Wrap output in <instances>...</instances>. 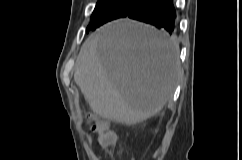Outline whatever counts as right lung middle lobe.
Wrapping results in <instances>:
<instances>
[{
    "mask_svg": "<svg viewBox=\"0 0 242 160\" xmlns=\"http://www.w3.org/2000/svg\"><path fill=\"white\" fill-rule=\"evenodd\" d=\"M146 0H98L86 32L95 30L104 23L125 17L131 10Z\"/></svg>",
    "mask_w": 242,
    "mask_h": 160,
    "instance_id": "1",
    "label": "right lung middle lobe"
}]
</instances>
